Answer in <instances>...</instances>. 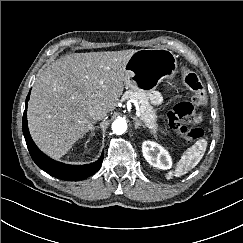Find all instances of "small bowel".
<instances>
[{
  "mask_svg": "<svg viewBox=\"0 0 243 243\" xmlns=\"http://www.w3.org/2000/svg\"><path fill=\"white\" fill-rule=\"evenodd\" d=\"M152 99L157 102V101H159V96L158 95H153Z\"/></svg>",
  "mask_w": 243,
  "mask_h": 243,
  "instance_id": "1",
  "label": "small bowel"
}]
</instances>
